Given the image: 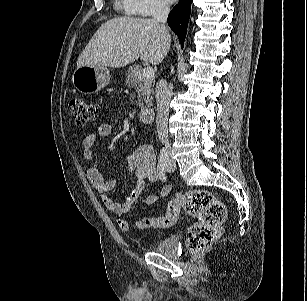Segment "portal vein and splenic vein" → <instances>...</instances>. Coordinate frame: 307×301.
Here are the masks:
<instances>
[{
    "label": "portal vein and splenic vein",
    "instance_id": "obj_1",
    "mask_svg": "<svg viewBox=\"0 0 307 301\" xmlns=\"http://www.w3.org/2000/svg\"><path fill=\"white\" fill-rule=\"evenodd\" d=\"M154 73H155V71H154L153 67H150V66L144 68L143 71H142V75H143L144 77H146V78L153 77V76H154Z\"/></svg>",
    "mask_w": 307,
    "mask_h": 301
}]
</instances>
